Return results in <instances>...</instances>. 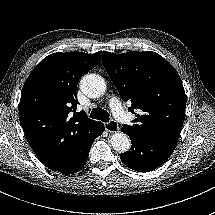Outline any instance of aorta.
<instances>
[{
	"label": "aorta",
	"instance_id": "762f6f07",
	"mask_svg": "<svg viewBox=\"0 0 215 215\" xmlns=\"http://www.w3.org/2000/svg\"><path fill=\"white\" fill-rule=\"evenodd\" d=\"M81 89L89 97H99L105 92V83L101 76L90 74L86 75L81 80ZM112 148L119 152L124 153L131 148L130 137L123 132H116L110 138Z\"/></svg>",
	"mask_w": 215,
	"mask_h": 215
}]
</instances>
